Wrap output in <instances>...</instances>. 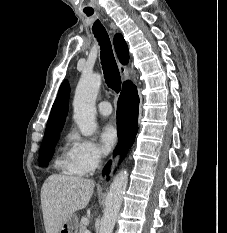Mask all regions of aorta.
<instances>
[{
  "mask_svg": "<svg viewBox=\"0 0 227 233\" xmlns=\"http://www.w3.org/2000/svg\"><path fill=\"white\" fill-rule=\"evenodd\" d=\"M100 86L101 76L99 74H83L75 91L73 118L84 136L93 135L97 128L95 101ZM127 183L128 172L127 170H121L111 183L99 233H112Z\"/></svg>",
  "mask_w": 227,
  "mask_h": 233,
  "instance_id": "obj_1",
  "label": "aorta"
}]
</instances>
